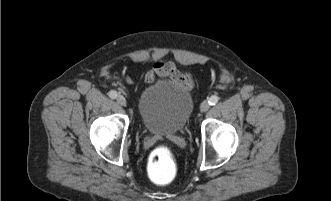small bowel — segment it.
I'll use <instances>...</instances> for the list:
<instances>
[{
  "mask_svg": "<svg viewBox=\"0 0 331 201\" xmlns=\"http://www.w3.org/2000/svg\"><path fill=\"white\" fill-rule=\"evenodd\" d=\"M157 77L170 79L188 88H191L193 85L191 76L187 73L179 71L173 62L157 61L145 74V80L148 83H153ZM124 80L128 83L130 82L129 79Z\"/></svg>",
  "mask_w": 331,
  "mask_h": 201,
  "instance_id": "small-bowel-1",
  "label": "small bowel"
}]
</instances>
